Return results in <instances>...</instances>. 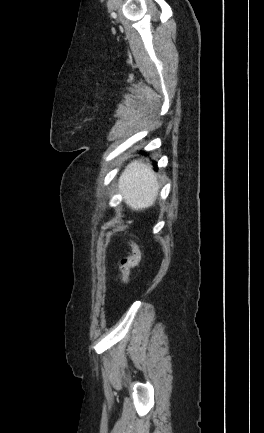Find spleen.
<instances>
[{
	"label": "spleen",
	"mask_w": 264,
	"mask_h": 433,
	"mask_svg": "<svg viewBox=\"0 0 264 433\" xmlns=\"http://www.w3.org/2000/svg\"><path fill=\"white\" fill-rule=\"evenodd\" d=\"M118 188L129 207L142 210L155 202L159 183L151 165L135 160L123 171Z\"/></svg>",
	"instance_id": "obj_1"
}]
</instances>
